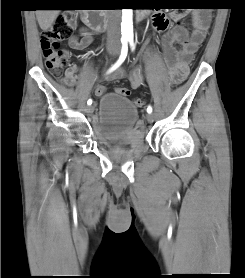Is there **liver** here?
<instances>
[{"label": "liver", "mask_w": 245, "mask_h": 278, "mask_svg": "<svg viewBox=\"0 0 245 278\" xmlns=\"http://www.w3.org/2000/svg\"><path fill=\"white\" fill-rule=\"evenodd\" d=\"M59 15V10H37L36 18L40 28L47 31Z\"/></svg>", "instance_id": "1"}]
</instances>
